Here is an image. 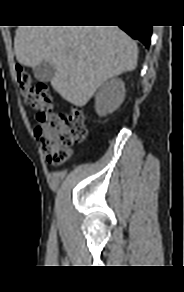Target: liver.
Returning <instances> with one entry per match:
<instances>
[{"label": "liver", "mask_w": 184, "mask_h": 292, "mask_svg": "<svg viewBox=\"0 0 184 292\" xmlns=\"http://www.w3.org/2000/svg\"><path fill=\"white\" fill-rule=\"evenodd\" d=\"M14 47L21 65L51 63L52 87L79 107L109 78L133 71L138 60L136 42L118 26H19Z\"/></svg>", "instance_id": "1"}]
</instances>
